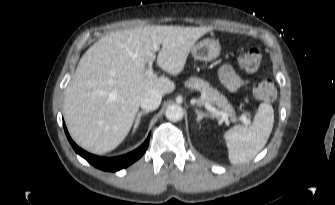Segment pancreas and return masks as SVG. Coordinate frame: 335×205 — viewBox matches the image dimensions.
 <instances>
[{"label":"pancreas","mask_w":335,"mask_h":205,"mask_svg":"<svg viewBox=\"0 0 335 205\" xmlns=\"http://www.w3.org/2000/svg\"><path fill=\"white\" fill-rule=\"evenodd\" d=\"M185 86L191 90H198L202 94H205V97H201L198 100L199 105H204L205 103L216 105L220 111L228 114L231 121L235 122L237 120L234 114V109L228 102L227 98L220 94L218 90L210 86L207 81H204L201 78L191 77L185 82Z\"/></svg>","instance_id":"obj_1"}]
</instances>
